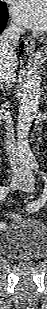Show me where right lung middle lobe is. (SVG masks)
Returning <instances> with one entry per match:
<instances>
[{
  "mask_svg": "<svg viewBox=\"0 0 47 309\" xmlns=\"http://www.w3.org/2000/svg\"><path fill=\"white\" fill-rule=\"evenodd\" d=\"M6 4L4 3V2H0V8L2 7V6H5Z\"/></svg>",
  "mask_w": 47,
  "mask_h": 309,
  "instance_id": "dd1d6c3e",
  "label": "right lung middle lobe"
}]
</instances>
